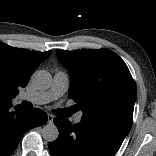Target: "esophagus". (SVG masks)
<instances>
[{
	"label": "esophagus",
	"mask_w": 156,
	"mask_h": 156,
	"mask_svg": "<svg viewBox=\"0 0 156 156\" xmlns=\"http://www.w3.org/2000/svg\"><path fill=\"white\" fill-rule=\"evenodd\" d=\"M53 119H54V116L51 114H48V123L49 124L53 123Z\"/></svg>",
	"instance_id": "esophagus-1"
}]
</instances>
